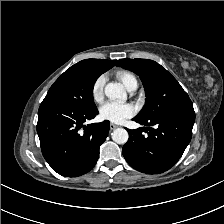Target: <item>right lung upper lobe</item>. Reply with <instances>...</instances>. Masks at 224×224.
<instances>
[{"label": "right lung upper lobe", "mask_w": 224, "mask_h": 224, "mask_svg": "<svg viewBox=\"0 0 224 224\" xmlns=\"http://www.w3.org/2000/svg\"><path fill=\"white\" fill-rule=\"evenodd\" d=\"M93 67L101 70L103 73L115 66L117 60H101V59H86L83 60Z\"/></svg>", "instance_id": "right-lung-upper-lobe-1"}]
</instances>
